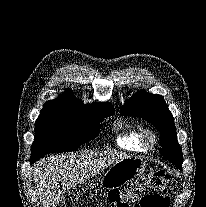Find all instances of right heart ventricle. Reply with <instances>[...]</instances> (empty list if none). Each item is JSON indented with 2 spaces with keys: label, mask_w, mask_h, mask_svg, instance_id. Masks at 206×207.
Instances as JSON below:
<instances>
[{
  "label": "right heart ventricle",
  "mask_w": 206,
  "mask_h": 207,
  "mask_svg": "<svg viewBox=\"0 0 206 207\" xmlns=\"http://www.w3.org/2000/svg\"><path fill=\"white\" fill-rule=\"evenodd\" d=\"M142 130L136 127L127 128L118 133L117 145L125 150L142 152L145 150L141 141Z\"/></svg>",
  "instance_id": "obj_1"
}]
</instances>
